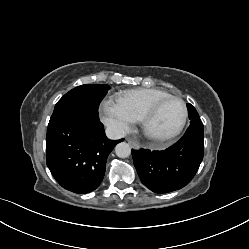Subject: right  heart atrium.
Returning <instances> with one entry per match:
<instances>
[{
  "mask_svg": "<svg viewBox=\"0 0 249 249\" xmlns=\"http://www.w3.org/2000/svg\"><path fill=\"white\" fill-rule=\"evenodd\" d=\"M100 114L103 123L117 136L128 133L138 120L124 104L114 98L102 101Z\"/></svg>",
  "mask_w": 249,
  "mask_h": 249,
  "instance_id": "d8ad5b80",
  "label": "right heart atrium"
}]
</instances>
